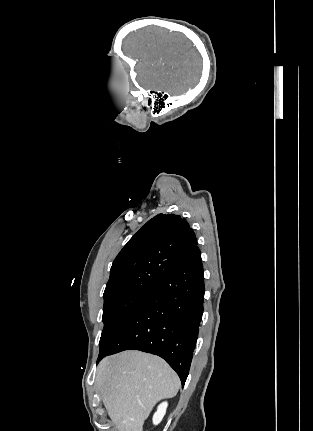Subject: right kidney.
Listing matches in <instances>:
<instances>
[{
    "instance_id": "1",
    "label": "right kidney",
    "mask_w": 313,
    "mask_h": 431,
    "mask_svg": "<svg viewBox=\"0 0 313 431\" xmlns=\"http://www.w3.org/2000/svg\"><path fill=\"white\" fill-rule=\"evenodd\" d=\"M167 406H168L167 402H163L158 406L157 411L153 416L154 425H158L162 421L164 415L166 414Z\"/></svg>"
}]
</instances>
